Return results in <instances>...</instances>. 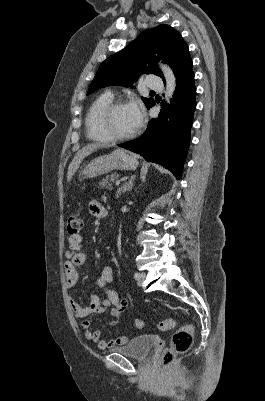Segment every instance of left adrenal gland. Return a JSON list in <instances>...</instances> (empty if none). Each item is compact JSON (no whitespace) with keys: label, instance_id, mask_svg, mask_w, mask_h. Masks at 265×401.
<instances>
[{"label":"left adrenal gland","instance_id":"1","mask_svg":"<svg viewBox=\"0 0 265 401\" xmlns=\"http://www.w3.org/2000/svg\"><path fill=\"white\" fill-rule=\"evenodd\" d=\"M134 178H136V174H132V176H130V178H128V182H124V184H122V186H119V188L116 192L117 198H119L121 192H126V190H131V188H133Z\"/></svg>","mask_w":265,"mask_h":401}]
</instances>
